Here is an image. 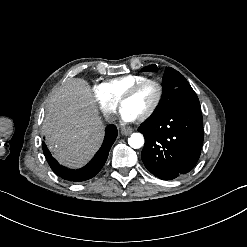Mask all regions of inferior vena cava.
<instances>
[{
	"label": "inferior vena cava",
	"instance_id": "obj_1",
	"mask_svg": "<svg viewBox=\"0 0 247 247\" xmlns=\"http://www.w3.org/2000/svg\"><path fill=\"white\" fill-rule=\"evenodd\" d=\"M114 120H115V117H114V116H112V117L109 118V121H110V122H112V121H114Z\"/></svg>",
	"mask_w": 247,
	"mask_h": 247
}]
</instances>
